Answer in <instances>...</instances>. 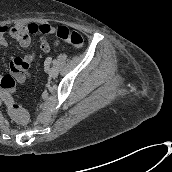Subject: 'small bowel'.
Returning a JSON list of instances; mask_svg holds the SVG:
<instances>
[{"instance_id":"1","label":"small bowel","mask_w":172,"mask_h":172,"mask_svg":"<svg viewBox=\"0 0 172 172\" xmlns=\"http://www.w3.org/2000/svg\"><path fill=\"white\" fill-rule=\"evenodd\" d=\"M29 26H36L41 29L42 28L47 29L46 31L37 30L32 35L39 33L40 48L42 49L43 52H49L51 46L45 37V35L53 32V28L49 24H41V25L30 24L28 26L16 25L12 28H8L7 26H0V47L8 46L9 44L8 37L18 42L22 47L29 46L31 43V35L27 36L26 38L24 37V32L28 30ZM35 58H36L35 53H31L27 55L25 58L22 57L12 58L10 65L11 68L17 73L19 81H23L25 79V73L28 71L30 64L35 60Z\"/></svg>"}]
</instances>
